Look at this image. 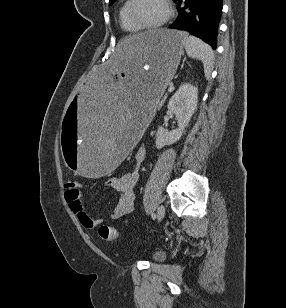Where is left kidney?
<instances>
[{
  "instance_id": "left-kidney-1",
  "label": "left kidney",
  "mask_w": 286,
  "mask_h": 308,
  "mask_svg": "<svg viewBox=\"0 0 286 308\" xmlns=\"http://www.w3.org/2000/svg\"><path fill=\"white\" fill-rule=\"evenodd\" d=\"M198 89L193 85L185 83L179 87L168 103V111L175 114L178 128L172 131L160 126L156 133V147L161 149L166 145L177 142L188 126L192 115L197 108Z\"/></svg>"
}]
</instances>
